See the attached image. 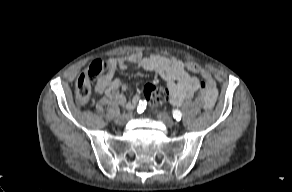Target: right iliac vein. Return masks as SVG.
<instances>
[{"mask_svg":"<svg viewBox=\"0 0 292 192\" xmlns=\"http://www.w3.org/2000/svg\"><path fill=\"white\" fill-rule=\"evenodd\" d=\"M133 117V114L132 113H129L127 115H122V116H119L115 119V122L119 125H123L125 124L129 119H131Z\"/></svg>","mask_w":292,"mask_h":192,"instance_id":"right-iliac-vein-1","label":"right iliac vein"}]
</instances>
